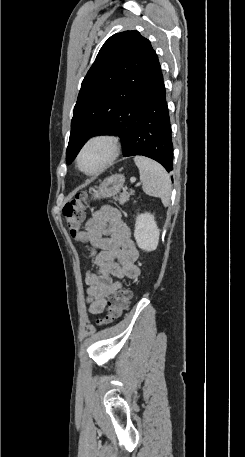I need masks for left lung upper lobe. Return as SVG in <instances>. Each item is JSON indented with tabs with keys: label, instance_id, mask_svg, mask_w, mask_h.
Instances as JSON below:
<instances>
[{
	"label": "left lung upper lobe",
	"instance_id": "5c2ea615",
	"mask_svg": "<svg viewBox=\"0 0 245 457\" xmlns=\"http://www.w3.org/2000/svg\"><path fill=\"white\" fill-rule=\"evenodd\" d=\"M159 67L149 40L137 31L114 34L104 43L74 107L67 164L89 138L104 134L121 116L143 104Z\"/></svg>",
	"mask_w": 245,
	"mask_h": 457
}]
</instances>
